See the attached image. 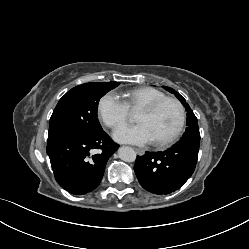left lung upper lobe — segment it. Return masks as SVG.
Instances as JSON below:
<instances>
[{
  "label": "left lung upper lobe",
  "instance_id": "1",
  "mask_svg": "<svg viewBox=\"0 0 249 249\" xmlns=\"http://www.w3.org/2000/svg\"><path fill=\"white\" fill-rule=\"evenodd\" d=\"M166 90H168L170 93L175 94V96L181 101L183 106H185L187 110V128L185 133L183 134L182 138L177 144L180 143H196L200 144V133H199V127L197 123V118L194 115L193 111L190 109L188 103H186L185 99L174 89L163 86Z\"/></svg>",
  "mask_w": 249,
  "mask_h": 249
}]
</instances>
